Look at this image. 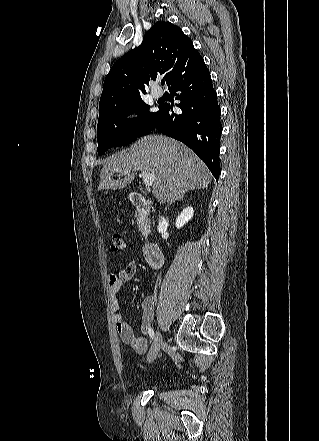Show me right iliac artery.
Returning <instances> with one entry per match:
<instances>
[{"instance_id": "obj_1", "label": "right iliac artery", "mask_w": 319, "mask_h": 441, "mask_svg": "<svg viewBox=\"0 0 319 441\" xmlns=\"http://www.w3.org/2000/svg\"><path fill=\"white\" fill-rule=\"evenodd\" d=\"M148 333H149V336L151 337V339H153L154 338V331L152 328L148 329Z\"/></svg>"}]
</instances>
